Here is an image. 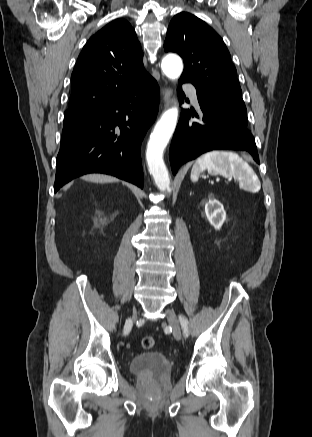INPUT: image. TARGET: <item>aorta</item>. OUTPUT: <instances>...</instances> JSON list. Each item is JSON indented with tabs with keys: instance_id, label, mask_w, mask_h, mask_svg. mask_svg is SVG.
Here are the masks:
<instances>
[{
	"instance_id": "obj_1",
	"label": "aorta",
	"mask_w": 312,
	"mask_h": 437,
	"mask_svg": "<svg viewBox=\"0 0 312 437\" xmlns=\"http://www.w3.org/2000/svg\"><path fill=\"white\" fill-rule=\"evenodd\" d=\"M161 68L168 78L177 79L183 70L182 60L176 55H167L162 60ZM177 118L176 107L165 111L157 122L147 145L146 159L149 172L160 191L170 190V178L163 160V152L175 130Z\"/></svg>"
}]
</instances>
